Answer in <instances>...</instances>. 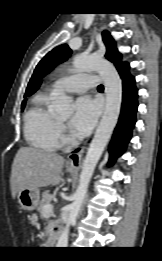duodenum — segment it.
<instances>
[{
  "instance_id": "duodenum-1",
  "label": "duodenum",
  "mask_w": 162,
  "mask_h": 261,
  "mask_svg": "<svg viewBox=\"0 0 162 261\" xmlns=\"http://www.w3.org/2000/svg\"><path fill=\"white\" fill-rule=\"evenodd\" d=\"M59 230L57 229L56 231L50 233L49 235V244L50 245H56L58 238H59Z\"/></svg>"
}]
</instances>
